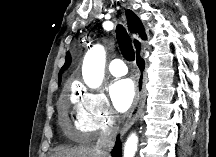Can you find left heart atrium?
<instances>
[{
    "label": "left heart atrium",
    "mask_w": 216,
    "mask_h": 157,
    "mask_svg": "<svg viewBox=\"0 0 216 157\" xmlns=\"http://www.w3.org/2000/svg\"><path fill=\"white\" fill-rule=\"evenodd\" d=\"M135 94V86L130 79L116 81L110 88L111 100L119 112H125L130 108Z\"/></svg>",
    "instance_id": "obj_1"
}]
</instances>
